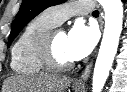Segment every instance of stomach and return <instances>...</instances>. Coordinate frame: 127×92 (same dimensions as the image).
<instances>
[{
  "label": "stomach",
  "mask_w": 127,
  "mask_h": 92,
  "mask_svg": "<svg viewBox=\"0 0 127 92\" xmlns=\"http://www.w3.org/2000/svg\"><path fill=\"white\" fill-rule=\"evenodd\" d=\"M75 92H83V89H75Z\"/></svg>",
  "instance_id": "obj_1"
}]
</instances>
